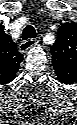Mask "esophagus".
I'll return each mask as SVG.
<instances>
[{
	"label": "esophagus",
	"mask_w": 77,
	"mask_h": 125,
	"mask_svg": "<svg viewBox=\"0 0 77 125\" xmlns=\"http://www.w3.org/2000/svg\"><path fill=\"white\" fill-rule=\"evenodd\" d=\"M37 42V39H28L24 42H22L19 46V51L25 53L27 50H29L30 48H32Z\"/></svg>",
	"instance_id": "34e87169"
}]
</instances>
